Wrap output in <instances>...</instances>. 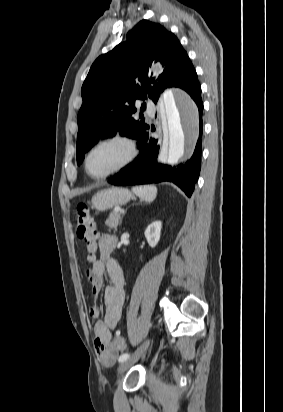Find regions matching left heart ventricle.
Masks as SVG:
<instances>
[{
    "instance_id": "left-heart-ventricle-1",
    "label": "left heart ventricle",
    "mask_w": 283,
    "mask_h": 412,
    "mask_svg": "<svg viewBox=\"0 0 283 412\" xmlns=\"http://www.w3.org/2000/svg\"><path fill=\"white\" fill-rule=\"evenodd\" d=\"M128 155V147L122 142H110L96 148L88 161L89 170L96 175L118 166Z\"/></svg>"
}]
</instances>
